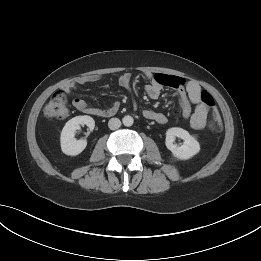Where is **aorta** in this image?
<instances>
[{
  "label": "aorta",
  "instance_id": "762f6f07",
  "mask_svg": "<svg viewBox=\"0 0 261 261\" xmlns=\"http://www.w3.org/2000/svg\"><path fill=\"white\" fill-rule=\"evenodd\" d=\"M122 122L125 126L130 127L133 125L134 119L132 116L127 115L123 117Z\"/></svg>",
  "mask_w": 261,
  "mask_h": 261
}]
</instances>
